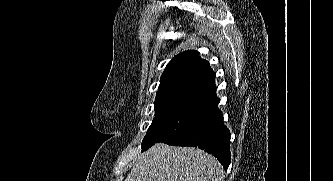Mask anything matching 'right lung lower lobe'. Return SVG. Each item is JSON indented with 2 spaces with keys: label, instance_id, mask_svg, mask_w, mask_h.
Instances as JSON below:
<instances>
[{
  "label": "right lung lower lobe",
  "instance_id": "1",
  "mask_svg": "<svg viewBox=\"0 0 333 181\" xmlns=\"http://www.w3.org/2000/svg\"><path fill=\"white\" fill-rule=\"evenodd\" d=\"M230 132L224 125L218 107L209 110L203 119L181 137L166 142L168 145L198 147L212 155L227 170L231 162Z\"/></svg>",
  "mask_w": 333,
  "mask_h": 181
}]
</instances>
